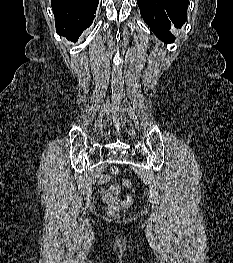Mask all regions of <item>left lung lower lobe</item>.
Returning <instances> with one entry per match:
<instances>
[{"instance_id": "obj_1", "label": "left lung lower lobe", "mask_w": 233, "mask_h": 263, "mask_svg": "<svg viewBox=\"0 0 233 263\" xmlns=\"http://www.w3.org/2000/svg\"><path fill=\"white\" fill-rule=\"evenodd\" d=\"M140 14L153 33L165 43L175 40L169 31L187 20L189 0H137Z\"/></svg>"}]
</instances>
